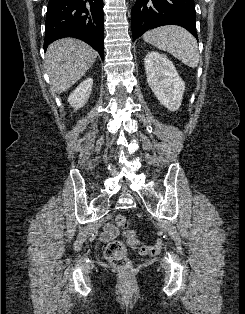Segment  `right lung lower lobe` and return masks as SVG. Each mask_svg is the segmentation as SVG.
I'll use <instances>...</instances> for the list:
<instances>
[{"label": "right lung lower lobe", "mask_w": 245, "mask_h": 314, "mask_svg": "<svg viewBox=\"0 0 245 314\" xmlns=\"http://www.w3.org/2000/svg\"><path fill=\"white\" fill-rule=\"evenodd\" d=\"M103 0H49L45 22L44 50L63 37H74L103 50Z\"/></svg>", "instance_id": "right-lung-lower-lobe-1"}]
</instances>
